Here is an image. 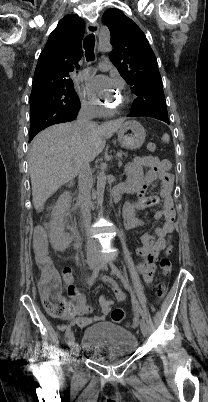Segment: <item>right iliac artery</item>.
I'll use <instances>...</instances> for the list:
<instances>
[{
    "label": "right iliac artery",
    "instance_id": "1",
    "mask_svg": "<svg viewBox=\"0 0 208 402\" xmlns=\"http://www.w3.org/2000/svg\"><path fill=\"white\" fill-rule=\"evenodd\" d=\"M99 271H100V266H97L95 269H94V271H93V273H92V275H91V277H90V279H89V286H91L93 283H94V281H95V279L97 278V276H98V274H99ZM71 325H72V323H70L68 326H67V329H66V332H65V339H67L68 337H69V335H70V332H71Z\"/></svg>",
    "mask_w": 208,
    "mask_h": 402
}]
</instances>
